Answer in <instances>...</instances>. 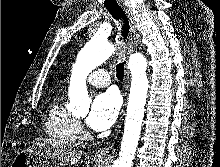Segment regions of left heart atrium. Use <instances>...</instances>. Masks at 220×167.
Listing matches in <instances>:
<instances>
[{
  "label": "left heart atrium",
  "mask_w": 220,
  "mask_h": 167,
  "mask_svg": "<svg viewBox=\"0 0 220 167\" xmlns=\"http://www.w3.org/2000/svg\"><path fill=\"white\" fill-rule=\"evenodd\" d=\"M120 107L121 99L115 91L108 90L99 94L93 101L87 118L88 125L96 131L110 128L118 117Z\"/></svg>",
  "instance_id": "1"
}]
</instances>
